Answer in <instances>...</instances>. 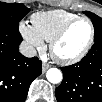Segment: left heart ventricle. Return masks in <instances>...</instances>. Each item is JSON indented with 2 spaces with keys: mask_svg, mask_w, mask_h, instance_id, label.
Segmentation results:
<instances>
[{
  "mask_svg": "<svg viewBox=\"0 0 102 102\" xmlns=\"http://www.w3.org/2000/svg\"><path fill=\"white\" fill-rule=\"evenodd\" d=\"M90 30L86 22L76 23L56 47V53L63 58L76 56L86 45Z\"/></svg>",
  "mask_w": 102,
  "mask_h": 102,
  "instance_id": "left-heart-ventricle-1",
  "label": "left heart ventricle"
}]
</instances>
